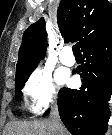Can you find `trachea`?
Returning a JSON list of instances; mask_svg holds the SVG:
<instances>
[{
    "mask_svg": "<svg viewBox=\"0 0 112 135\" xmlns=\"http://www.w3.org/2000/svg\"><path fill=\"white\" fill-rule=\"evenodd\" d=\"M73 52H74V55H81V51H80V47L78 43L73 45Z\"/></svg>",
    "mask_w": 112,
    "mask_h": 135,
    "instance_id": "trachea-1",
    "label": "trachea"
}]
</instances>
